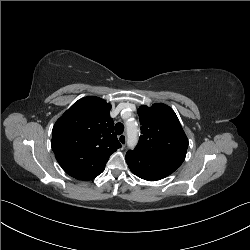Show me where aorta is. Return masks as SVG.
I'll return each instance as SVG.
<instances>
[{
	"label": "aorta",
	"mask_w": 250,
	"mask_h": 250,
	"mask_svg": "<svg viewBox=\"0 0 250 250\" xmlns=\"http://www.w3.org/2000/svg\"><path fill=\"white\" fill-rule=\"evenodd\" d=\"M127 144L133 148L138 142V130L135 123H127Z\"/></svg>",
	"instance_id": "1"
}]
</instances>
